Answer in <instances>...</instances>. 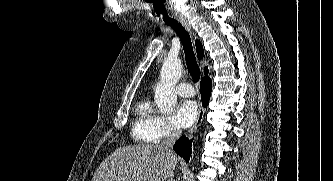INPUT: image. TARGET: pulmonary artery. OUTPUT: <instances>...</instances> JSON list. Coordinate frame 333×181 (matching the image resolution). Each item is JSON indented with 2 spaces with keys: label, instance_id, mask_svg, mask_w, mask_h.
<instances>
[{
  "label": "pulmonary artery",
  "instance_id": "1",
  "mask_svg": "<svg viewBox=\"0 0 333 181\" xmlns=\"http://www.w3.org/2000/svg\"><path fill=\"white\" fill-rule=\"evenodd\" d=\"M177 93L182 97H192L195 92L190 83L182 82L177 86Z\"/></svg>",
  "mask_w": 333,
  "mask_h": 181
}]
</instances>
